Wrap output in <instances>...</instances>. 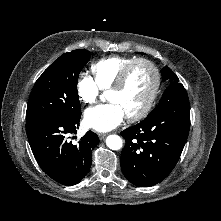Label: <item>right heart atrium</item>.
Segmentation results:
<instances>
[{
	"label": "right heart atrium",
	"mask_w": 221,
	"mask_h": 221,
	"mask_svg": "<svg viewBox=\"0 0 221 221\" xmlns=\"http://www.w3.org/2000/svg\"><path fill=\"white\" fill-rule=\"evenodd\" d=\"M76 90L80 101L84 104H94L100 95V90L95 81L87 76L82 75L77 81Z\"/></svg>",
	"instance_id": "obj_1"
}]
</instances>
